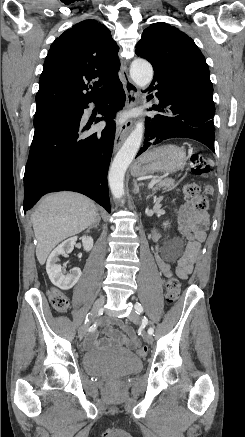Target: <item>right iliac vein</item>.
<instances>
[{
    "instance_id": "obj_1",
    "label": "right iliac vein",
    "mask_w": 245,
    "mask_h": 437,
    "mask_svg": "<svg viewBox=\"0 0 245 437\" xmlns=\"http://www.w3.org/2000/svg\"><path fill=\"white\" fill-rule=\"evenodd\" d=\"M104 303H105V297H100L95 301L93 308L91 310V315H90L91 319L97 314V312L100 310V308L103 306ZM87 326H88V323L82 325L79 328V337L80 338L84 337Z\"/></svg>"
}]
</instances>
